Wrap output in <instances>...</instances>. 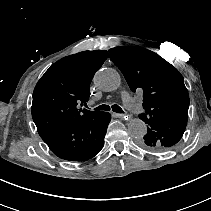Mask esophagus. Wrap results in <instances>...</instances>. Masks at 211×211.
Masks as SVG:
<instances>
[{
  "label": "esophagus",
  "instance_id": "34e87169",
  "mask_svg": "<svg viewBox=\"0 0 211 211\" xmlns=\"http://www.w3.org/2000/svg\"><path fill=\"white\" fill-rule=\"evenodd\" d=\"M115 115H116V117H118V118H122V120H123L124 122H127V121L129 120V118H130L129 115H125V114H121V113H116Z\"/></svg>",
  "mask_w": 211,
  "mask_h": 211
}]
</instances>
